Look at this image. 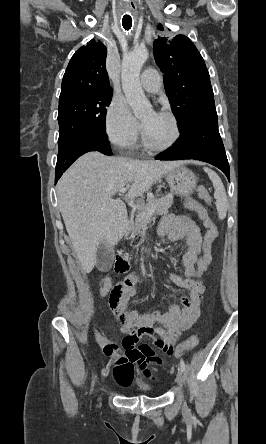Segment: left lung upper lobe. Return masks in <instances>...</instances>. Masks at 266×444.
Listing matches in <instances>:
<instances>
[{
	"instance_id": "obj_1",
	"label": "left lung upper lobe",
	"mask_w": 266,
	"mask_h": 444,
	"mask_svg": "<svg viewBox=\"0 0 266 444\" xmlns=\"http://www.w3.org/2000/svg\"><path fill=\"white\" fill-rule=\"evenodd\" d=\"M158 29L163 30L162 25ZM153 52L164 73L165 91L180 129L193 117L215 110L208 70L188 37H159L154 41Z\"/></svg>"
}]
</instances>
